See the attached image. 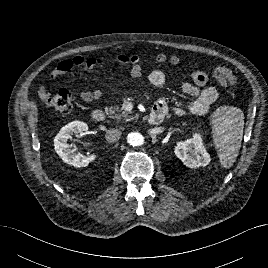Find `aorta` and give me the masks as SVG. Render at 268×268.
<instances>
[{"label": "aorta", "instance_id": "1", "mask_svg": "<svg viewBox=\"0 0 268 268\" xmlns=\"http://www.w3.org/2000/svg\"><path fill=\"white\" fill-rule=\"evenodd\" d=\"M127 142L132 146H140L144 143V137L138 132H131L127 135Z\"/></svg>", "mask_w": 268, "mask_h": 268}]
</instances>
